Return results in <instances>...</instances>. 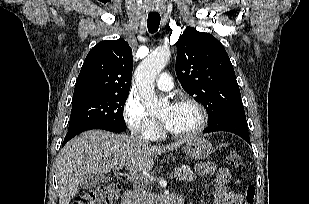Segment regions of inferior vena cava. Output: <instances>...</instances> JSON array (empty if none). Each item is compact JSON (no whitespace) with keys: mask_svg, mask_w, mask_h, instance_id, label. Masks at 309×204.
I'll return each instance as SVG.
<instances>
[{"mask_svg":"<svg viewBox=\"0 0 309 204\" xmlns=\"http://www.w3.org/2000/svg\"><path fill=\"white\" fill-rule=\"evenodd\" d=\"M132 137L138 141L144 140L136 133L132 134ZM147 196L144 189L141 186H137L136 189L129 196L128 204H146Z\"/></svg>","mask_w":309,"mask_h":204,"instance_id":"obj_1","label":"inferior vena cava"}]
</instances>
